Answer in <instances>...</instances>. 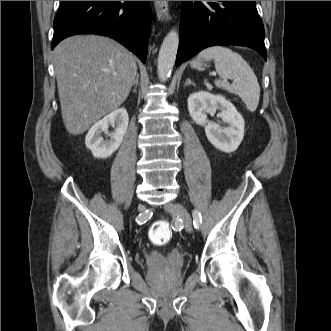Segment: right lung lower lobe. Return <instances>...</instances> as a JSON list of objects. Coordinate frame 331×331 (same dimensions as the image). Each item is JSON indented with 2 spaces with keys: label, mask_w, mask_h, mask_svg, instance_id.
I'll list each match as a JSON object with an SVG mask.
<instances>
[{
  "label": "right lung lower lobe",
  "mask_w": 331,
  "mask_h": 331,
  "mask_svg": "<svg viewBox=\"0 0 331 331\" xmlns=\"http://www.w3.org/2000/svg\"><path fill=\"white\" fill-rule=\"evenodd\" d=\"M151 20L149 1H61L51 49L76 34H98L120 42L146 61Z\"/></svg>",
  "instance_id": "98d812e1"
}]
</instances>
